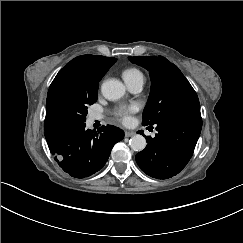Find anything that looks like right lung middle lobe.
Wrapping results in <instances>:
<instances>
[{"label":"right lung middle lobe","mask_w":243,"mask_h":243,"mask_svg":"<svg viewBox=\"0 0 243 243\" xmlns=\"http://www.w3.org/2000/svg\"><path fill=\"white\" fill-rule=\"evenodd\" d=\"M98 85L69 84L61 87L52 97L46 117L53 126L82 123L87 108L97 101Z\"/></svg>","instance_id":"1"}]
</instances>
